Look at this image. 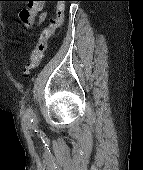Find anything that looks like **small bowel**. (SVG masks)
<instances>
[{"label":"small bowel","mask_w":143,"mask_h":170,"mask_svg":"<svg viewBox=\"0 0 143 170\" xmlns=\"http://www.w3.org/2000/svg\"><path fill=\"white\" fill-rule=\"evenodd\" d=\"M44 16H45V14H42V15H41V19H43V18H44Z\"/></svg>","instance_id":"c3829d8e"}]
</instances>
